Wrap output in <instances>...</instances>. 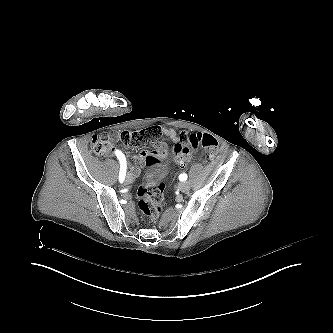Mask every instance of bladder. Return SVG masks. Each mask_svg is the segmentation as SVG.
Returning <instances> with one entry per match:
<instances>
[{
	"instance_id": "bladder-1",
	"label": "bladder",
	"mask_w": 333,
	"mask_h": 333,
	"mask_svg": "<svg viewBox=\"0 0 333 333\" xmlns=\"http://www.w3.org/2000/svg\"><path fill=\"white\" fill-rule=\"evenodd\" d=\"M173 153V146L161 149L158 151L156 158L148 162L142 172L145 185L152 188H160L164 185L173 166Z\"/></svg>"
}]
</instances>
